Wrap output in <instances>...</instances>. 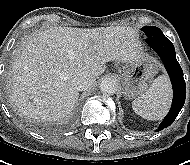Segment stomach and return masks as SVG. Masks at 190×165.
<instances>
[{
  "instance_id": "1",
  "label": "stomach",
  "mask_w": 190,
  "mask_h": 165,
  "mask_svg": "<svg viewBox=\"0 0 190 165\" xmlns=\"http://www.w3.org/2000/svg\"><path fill=\"white\" fill-rule=\"evenodd\" d=\"M157 71L158 66L152 59H140L126 67L121 73L125 98L134 99L146 93Z\"/></svg>"
}]
</instances>
